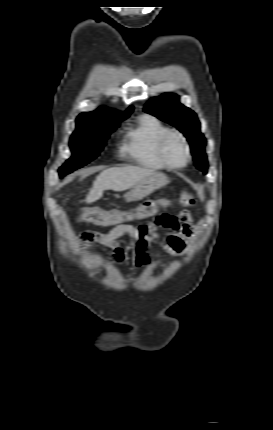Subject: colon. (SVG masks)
<instances>
[{"instance_id": "obj_1", "label": "colon", "mask_w": 273, "mask_h": 430, "mask_svg": "<svg viewBox=\"0 0 273 430\" xmlns=\"http://www.w3.org/2000/svg\"><path fill=\"white\" fill-rule=\"evenodd\" d=\"M178 202L185 207L195 206V198L188 192L181 193L178 197ZM163 203H166V201ZM159 206L160 203L157 201H147L138 208L125 211L88 209L79 216V221L95 223L102 226L120 225L127 222L151 218L156 215ZM162 216L163 215H160L157 218Z\"/></svg>"}]
</instances>
